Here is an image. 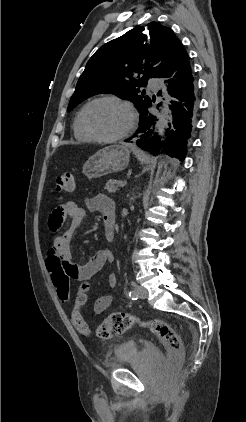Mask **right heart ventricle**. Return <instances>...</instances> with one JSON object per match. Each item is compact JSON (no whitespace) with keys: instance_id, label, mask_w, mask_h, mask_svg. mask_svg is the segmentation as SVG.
<instances>
[{"instance_id":"e07e8e85","label":"right heart ventricle","mask_w":246,"mask_h":422,"mask_svg":"<svg viewBox=\"0 0 246 422\" xmlns=\"http://www.w3.org/2000/svg\"><path fill=\"white\" fill-rule=\"evenodd\" d=\"M82 111H83V108H81L78 111L74 119V124H73L74 136L77 140L81 142H91L92 139L88 136V134L85 132L82 126V121H81Z\"/></svg>"}]
</instances>
